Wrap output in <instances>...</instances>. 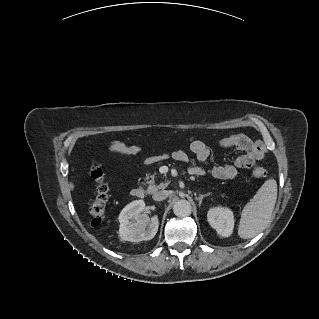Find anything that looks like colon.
<instances>
[{
  "instance_id": "obj_1",
  "label": "colon",
  "mask_w": 319,
  "mask_h": 319,
  "mask_svg": "<svg viewBox=\"0 0 319 319\" xmlns=\"http://www.w3.org/2000/svg\"><path fill=\"white\" fill-rule=\"evenodd\" d=\"M252 175L258 178L265 177L267 171L263 167H254L252 169ZM89 177L96 185L97 197L90 206V216L92 226H98L102 223L106 203L108 199V188L105 182V177L102 169L98 165H92L89 170Z\"/></svg>"
}]
</instances>
